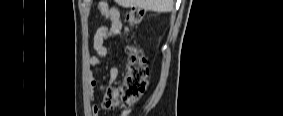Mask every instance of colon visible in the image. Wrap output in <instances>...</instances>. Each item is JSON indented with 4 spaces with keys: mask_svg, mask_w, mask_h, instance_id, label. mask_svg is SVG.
<instances>
[{
    "mask_svg": "<svg viewBox=\"0 0 283 116\" xmlns=\"http://www.w3.org/2000/svg\"><path fill=\"white\" fill-rule=\"evenodd\" d=\"M144 18V10L131 8L126 14L127 28L140 25ZM128 66L126 76L118 87L104 88L102 91V106L105 109L129 107L140 99L147 86L146 58L140 48L131 45L127 47Z\"/></svg>",
    "mask_w": 283,
    "mask_h": 116,
    "instance_id": "5ec220e1",
    "label": "colon"
}]
</instances>
